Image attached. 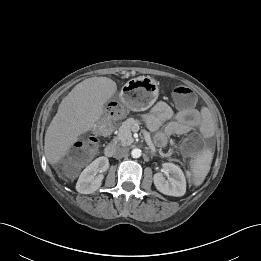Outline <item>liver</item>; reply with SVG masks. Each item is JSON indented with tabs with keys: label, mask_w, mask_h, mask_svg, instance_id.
I'll use <instances>...</instances> for the list:
<instances>
[{
	"label": "liver",
	"mask_w": 261,
	"mask_h": 261,
	"mask_svg": "<svg viewBox=\"0 0 261 261\" xmlns=\"http://www.w3.org/2000/svg\"><path fill=\"white\" fill-rule=\"evenodd\" d=\"M116 91L117 85L110 78L92 77L77 84L62 100L45 134L44 152L51 165L68 153L80 135L94 127L104 104Z\"/></svg>",
	"instance_id": "obj_1"
}]
</instances>
